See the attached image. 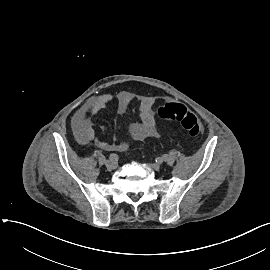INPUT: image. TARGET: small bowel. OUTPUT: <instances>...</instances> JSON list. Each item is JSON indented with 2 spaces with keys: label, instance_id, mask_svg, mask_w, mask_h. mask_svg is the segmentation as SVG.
<instances>
[{
  "label": "small bowel",
  "instance_id": "obj_1",
  "mask_svg": "<svg viewBox=\"0 0 270 270\" xmlns=\"http://www.w3.org/2000/svg\"><path fill=\"white\" fill-rule=\"evenodd\" d=\"M113 96L109 93H102L89 99L73 116L72 128L79 143L86 144L93 142L103 150H119L129 146L133 141H143L150 138H158L159 130L153 106L156 98L147 96L139 103V121L130 122L127 125V137L119 144H111L97 138L93 129L91 116L105 109L112 101ZM131 96L127 92L118 94L117 113L122 115L128 110L131 103Z\"/></svg>",
  "mask_w": 270,
  "mask_h": 270
}]
</instances>
